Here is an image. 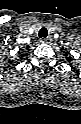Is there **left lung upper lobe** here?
I'll use <instances>...</instances> for the list:
<instances>
[{
	"instance_id": "1",
	"label": "left lung upper lobe",
	"mask_w": 81,
	"mask_h": 124,
	"mask_svg": "<svg viewBox=\"0 0 81 124\" xmlns=\"http://www.w3.org/2000/svg\"><path fill=\"white\" fill-rule=\"evenodd\" d=\"M67 60H68V61H71V57H68Z\"/></svg>"
}]
</instances>
